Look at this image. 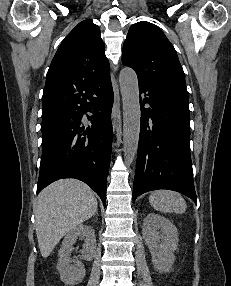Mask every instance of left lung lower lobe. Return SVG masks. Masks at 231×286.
<instances>
[{"mask_svg":"<svg viewBox=\"0 0 231 286\" xmlns=\"http://www.w3.org/2000/svg\"><path fill=\"white\" fill-rule=\"evenodd\" d=\"M139 93L145 97L140 100L141 128L133 202L145 192L169 189L197 203L189 150L188 94L145 82H139Z\"/></svg>","mask_w":231,"mask_h":286,"instance_id":"1","label":"left lung lower lobe"}]
</instances>
